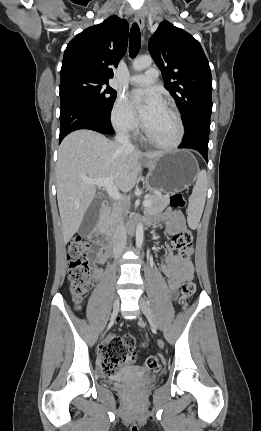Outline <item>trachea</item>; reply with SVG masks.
Returning <instances> with one entry per match:
<instances>
[{"label":"trachea","mask_w":261,"mask_h":431,"mask_svg":"<svg viewBox=\"0 0 261 431\" xmlns=\"http://www.w3.org/2000/svg\"><path fill=\"white\" fill-rule=\"evenodd\" d=\"M141 46V33L137 23H134L130 30L129 37V54L130 57H135Z\"/></svg>","instance_id":"trachea-1"}]
</instances>
